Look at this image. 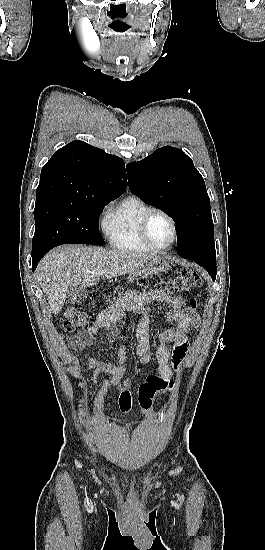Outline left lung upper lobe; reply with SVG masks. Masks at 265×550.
Instances as JSON below:
<instances>
[{"instance_id":"5c2ea615","label":"left lung upper lobe","mask_w":265,"mask_h":550,"mask_svg":"<svg viewBox=\"0 0 265 550\" xmlns=\"http://www.w3.org/2000/svg\"><path fill=\"white\" fill-rule=\"evenodd\" d=\"M131 192L166 212L176 223L177 250L186 257L215 252L210 199L201 174L181 149L165 146L127 165Z\"/></svg>"}]
</instances>
